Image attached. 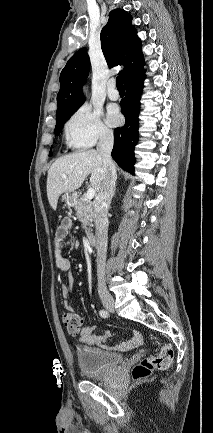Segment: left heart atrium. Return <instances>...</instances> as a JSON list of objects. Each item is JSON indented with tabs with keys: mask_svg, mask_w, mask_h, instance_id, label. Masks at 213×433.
<instances>
[{
	"mask_svg": "<svg viewBox=\"0 0 213 433\" xmlns=\"http://www.w3.org/2000/svg\"><path fill=\"white\" fill-rule=\"evenodd\" d=\"M108 122L111 125H118L121 122V116L116 109H112L108 114Z\"/></svg>",
	"mask_w": 213,
	"mask_h": 433,
	"instance_id": "1",
	"label": "left heart atrium"
}]
</instances>
